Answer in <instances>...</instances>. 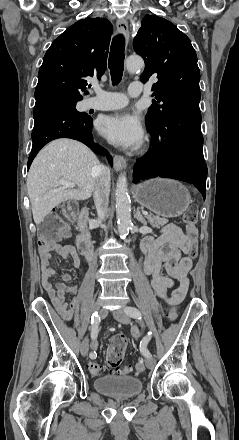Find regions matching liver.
<instances>
[{
    "label": "liver",
    "instance_id": "liver-1",
    "mask_svg": "<svg viewBox=\"0 0 239 440\" xmlns=\"http://www.w3.org/2000/svg\"><path fill=\"white\" fill-rule=\"evenodd\" d=\"M98 166L100 162L95 154L76 140L60 138L42 148L27 176L28 196L36 226L61 202L91 198ZM60 180L76 184L77 190L61 188Z\"/></svg>",
    "mask_w": 239,
    "mask_h": 440
}]
</instances>
